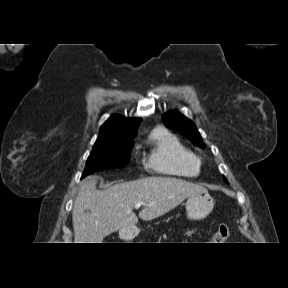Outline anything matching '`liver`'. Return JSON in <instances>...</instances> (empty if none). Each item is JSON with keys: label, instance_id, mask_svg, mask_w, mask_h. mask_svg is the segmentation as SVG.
I'll return each mask as SVG.
<instances>
[{"label": "liver", "instance_id": "obj_1", "mask_svg": "<svg viewBox=\"0 0 288 288\" xmlns=\"http://www.w3.org/2000/svg\"><path fill=\"white\" fill-rule=\"evenodd\" d=\"M96 179L82 181L72 210L75 243H102L104 237L136 229L135 204L145 202L139 218L151 221L177 207L190 195L204 190L200 185L174 177H148L116 183L105 190Z\"/></svg>", "mask_w": 288, "mask_h": 288}]
</instances>
